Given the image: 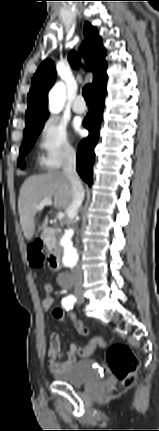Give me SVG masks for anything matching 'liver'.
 Listing matches in <instances>:
<instances>
[{
	"instance_id": "6515ba94",
	"label": "liver",
	"mask_w": 159,
	"mask_h": 431,
	"mask_svg": "<svg viewBox=\"0 0 159 431\" xmlns=\"http://www.w3.org/2000/svg\"><path fill=\"white\" fill-rule=\"evenodd\" d=\"M44 198H53L56 208L65 211L72 200V185L68 177L61 171H53L43 175H33L25 180L18 198V212L24 236L30 240L36 228V206ZM48 225L44 219L42 229Z\"/></svg>"
}]
</instances>
